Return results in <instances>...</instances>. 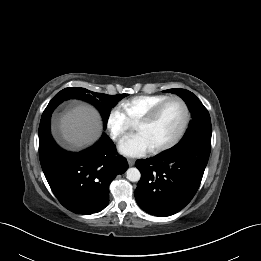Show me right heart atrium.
Listing matches in <instances>:
<instances>
[{"label":"right heart atrium","mask_w":261,"mask_h":261,"mask_svg":"<svg viewBox=\"0 0 261 261\" xmlns=\"http://www.w3.org/2000/svg\"><path fill=\"white\" fill-rule=\"evenodd\" d=\"M106 125L110 136L114 140H119L132 129V123L128 120L124 112L118 107H114L109 111L106 119Z\"/></svg>","instance_id":"right-heart-atrium-1"}]
</instances>
